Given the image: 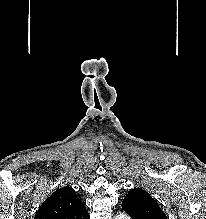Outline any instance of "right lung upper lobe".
Wrapping results in <instances>:
<instances>
[{
	"label": "right lung upper lobe",
	"instance_id": "obj_1",
	"mask_svg": "<svg viewBox=\"0 0 206 219\" xmlns=\"http://www.w3.org/2000/svg\"><path fill=\"white\" fill-rule=\"evenodd\" d=\"M34 219H89V216L75 190L66 186L56 190L43 202Z\"/></svg>",
	"mask_w": 206,
	"mask_h": 219
}]
</instances>
